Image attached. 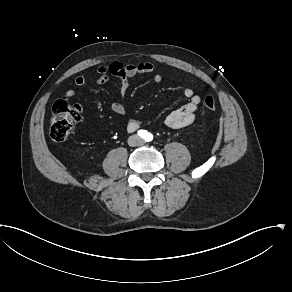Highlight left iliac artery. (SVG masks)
<instances>
[{"label":"left iliac artery","mask_w":292,"mask_h":292,"mask_svg":"<svg viewBox=\"0 0 292 292\" xmlns=\"http://www.w3.org/2000/svg\"><path fill=\"white\" fill-rule=\"evenodd\" d=\"M153 138L152 134L148 133L147 137H146V140L147 141H151Z\"/></svg>","instance_id":"left-iliac-artery-1"}]
</instances>
